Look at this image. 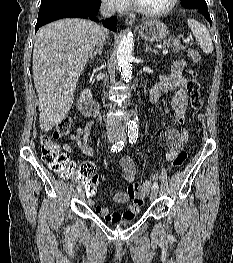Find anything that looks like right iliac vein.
<instances>
[{
	"mask_svg": "<svg viewBox=\"0 0 233 263\" xmlns=\"http://www.w3.org/2000/svg\"><path fill=\"white\" fill-rule=\"evenodd\" d=\"M118 140H119V137H118L117 135H115V134H109V135H108V141H109V142H116V141H118ZM84 196H85L84 191H83V190H80V191L78 192V197H79L80 199H83Z\"/></svg>",
	"mask_w": 233,
	"mask_h": 263,
	"instance_id": "1",
	"label": "right iliac vein"
}]
</instances>
